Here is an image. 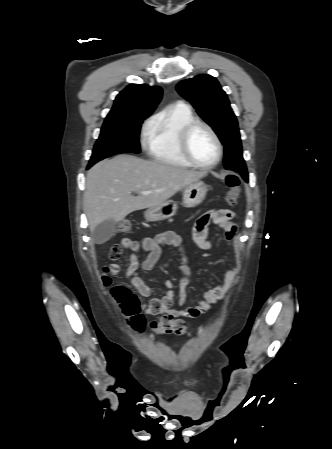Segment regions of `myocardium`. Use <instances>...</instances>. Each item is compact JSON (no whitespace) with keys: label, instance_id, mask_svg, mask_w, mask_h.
I'll return each mask as SVG.
<instances>
[{"label":"myocardium","instance_id":"f54148a6","mask_svg":"<svg viewBox=\"0 0 332 449\" xmlns=\"http://www.w3.org/2000/svg\"><path fill=\"white\" fill-rule=\"evenodd\" d=\"M197 127L205 128L210 133L212 138L214 139L216 147H217L216 158L214 159L213 162H211L209 164H201V163L197 162L195 160V158L193 157V155L191 154V151L189 148L190 135L193 132V130L196 129ZM179 149H180L182 156L186 159V161H188L192 166H194L196 168L204 169V170L214 168L221 161L222 155H223V146H222V143H221V140H220L218 134L216 133V131L213 129L212 126H210L208 123H206L204 121H200V120H193L181 129V131L179 133Z\"/></svg>","mask_w":332,"mask_h":449}]
</instances>
